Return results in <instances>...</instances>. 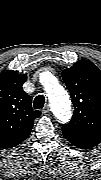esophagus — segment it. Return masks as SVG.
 <instances>
[{
    "label": "esophagus",
    "mask_w": 101,
    "mask_h": 180,
    "mask_svg": "<svg viewBox=\"0 0 101 180\" xmlns=\"http://www.w3.org/2000/svg\"><path fill=\"white\" fill-rule=\"evenodd\" d=\"M50 113V109L48 106H45L43 109H42V114L44 115H48Z\"/></svg>",
    "instance_id": "obj_1"
}]
</instances>
